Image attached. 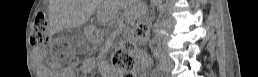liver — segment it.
<instances>
[{"instance_id": "6515ba94", "label": "liver", "mask_w": 258, "mask_h": 77, "mask_svg": "<svg viewBox=\"0 0 258 77\" xmlns=\"http://www.w3.org/2000/svg\"><path fill=\"white\" fill-rule=\"evenodd\" d=\"M62 23L75 26L76 24V2L74 0H64L61 10Z\"/></svg>"}]
</instances>
